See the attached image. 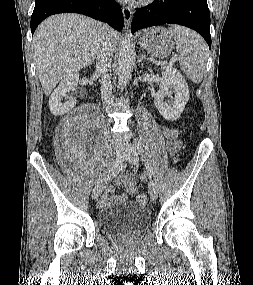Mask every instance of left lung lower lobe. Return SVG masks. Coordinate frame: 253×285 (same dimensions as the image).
I'll return each mask as SVG.
<instances>
[{"mask_svg": "<svg viewBox=\"0 0 253 285\" xmlns=\"http://www.w3.org/2000/svg\"><path fill=\"white\" fill-rule=\"evenodd\" d=\"M163 24H180L197 31L211 48L210 14L207 0H161L139 8L131 24L132 32Z\"/></svg>", "mask_w": 253, "mask_h": 285, "instance_id": "obj_1", "label": "left lung lower lobe"}]
</instances>
